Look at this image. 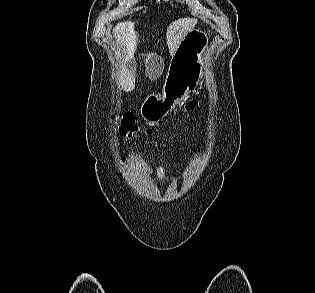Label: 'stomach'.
<instances>
[{
  "label": "stomach",
  "mask_w": 315,
  "mask_h": 293,
  "mask_svg": "<svg viewBox=\"0 0 315 293\" xmlns=\"http://www.w3.org/2000/svg\"><path fill=\"white\" fill-rule=\"evenodd\" d=\"M209 37L205 31L192 29L181 40L172 55L161 95H152L143 104L142 116L155 123L194 92L206 69Z\"/></svg>",
  "instance_id": "obj_1"
}]
</instances>
